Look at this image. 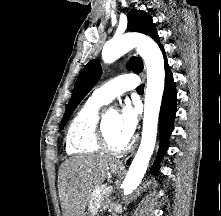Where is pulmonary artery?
Returning a JSON list of instances; mask_svg holds the SVG:
<instances>
[{
  "label": "pulmonary artery",
  "mask_w": 221,
  "mask_h": 216,
  "mask_svg": "<svg viewBox=\"0 0 221 216\" xmlns=\"http://www.w3.org/2000/svg\"><path fill=\"white\" fill-rule=\"evenodd\" d=\"M138 84L139 79L137 76L132 74L120 75L95 89L91 98L101 103H109L115 97L136 88Z\"/></svg>",
  "instance_id": "1"
}]
</instances>
